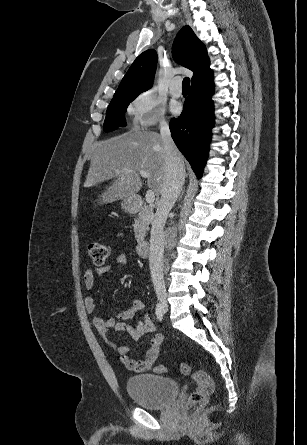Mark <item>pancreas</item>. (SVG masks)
<instances>
[{
	"label": "pancreas",
	"mask_w": 307,
	"mask_h": 445,
	"mask_svg": "<svg viewBox=\"0 0 307 445\" xmlns=\"http://www.w3.org/2000/svg\"><path fill=\"white\" fill-rule=\"evenodd\" d=\"M154 218L153 214V208H150V206H141L139 210V214H137L135 220H134V235L136 241H144V237L146 235V231L149 229V225H151L152 220Z\"/></svg>",
	"instance_id": "1"
}]
</instances>
